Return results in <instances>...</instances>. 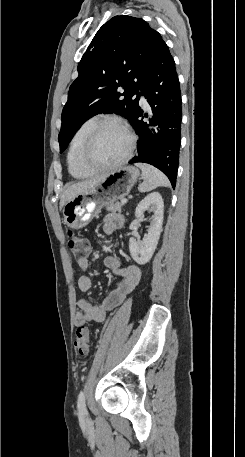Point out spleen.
Masks as SVG:
<instances>
[{
	"instance_id": "spleen-1",
	"label": "spleen",
	"mask_w": 245,
	"mask_h": 457,
	"mask_svg": "<svg viewBox=\"0 0 245 457\" xmlns=\"http://www.w3.org/2000/svg\"><path fill=\"white\" fill-rule=\"evenodd\" d=\"M136 166H139L142 170L143 182L139 184L138 190L140 192H148L153 190L157 186H169V180L161 170L151 166V164H144V162H136Z\"/></svg>"
}]
</instances>
